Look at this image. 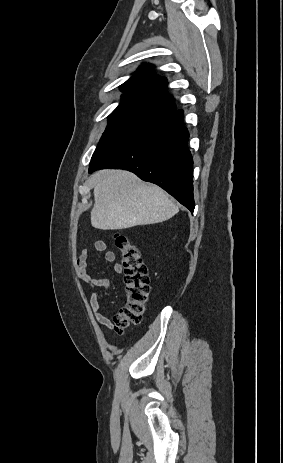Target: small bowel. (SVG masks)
Returning a JSON list of instances; mask_svg holds the SVG:
<instances>
[{
    "instance_id": "c3829d8e",
    "label": "small bowel",
    "mask_w": 283,
    "mask_h": 463,
    "mask_svg": "<svg viewBox=\"0 0 283 463\" xmlns=\"http://www.w3.org/2000/svg\"><path fill=\"white\" fill-rule=\"evenodd\" d=\"M94 248L98 252L105 253V260L109 263H114V271L116 273H122L123 267L120 263L115 262L116 256L113 251L108 250L106 241L97 240L94 242ZM75 267L78 277L89 287L90 289V307L94 312L96 321L103 327H110L112 320L108 316L99 312L101 304L99 293L97 289L107 290L109 288V280L106 278H93L89 275L88 268V250L83 249L76 258Z\"/></svg>"
}]
</instances>
